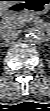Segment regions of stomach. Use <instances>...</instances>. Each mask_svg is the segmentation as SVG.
Instances as JSON below:
<instances>
[{
	"instance_id": "1",
	"label": "stomach",
	"mask_w": 50,
	"mask_h": 111,
	"mask_svg": "<svg viewBox=\"0 0 50 111\" xmlns=\"http://www.w3.org/2000/svg\"><path fill=\"white\" fill-rule=\"evenodd\" d=\"M25 10L37 15L45 14L50 9V0H25Z\"/></svg>"
}]
</instances>
